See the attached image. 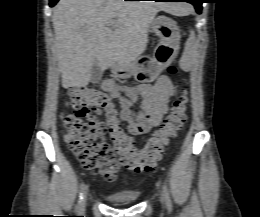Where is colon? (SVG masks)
Segmentation results:
<instances>
[{"label":"colon","instance_id":"colon-1","mask_svg":"<svg viewBox=\"0 0 260 217\" xmlns=\"http://www.w3.org/2000/svg\"><path fill=\"white\" fill-rule=\"evenodd\" d=\"M168 72L175 74L176 68L170 66ZM67 97L74 113L62 116L64 141L85 169L106 180L115 179L120 166L135 171L153 170L167 142L176 135L187 117L188 100L186 93L182 92L144 146L136 148L132 138L120 125L107 93L92 88H78L70 89ZM98 110L105 114L104 123L95 119L94 113ZM107 132L113 143L107 140Z\"/></svg>","mask_w":260,"mask_h":217}]
</instances>
